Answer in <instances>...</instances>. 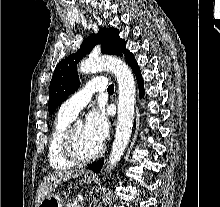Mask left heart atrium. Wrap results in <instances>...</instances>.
<instances>
[{
  "label": "left heart atrium",
  "instance_id": "1",
  "mask_svg": "<svg viewBox=\"0 0 220 207\" xmlns=\"http://www.w3.org/2000/svg\"><path fill=\"white\" fill-rule=\"evenodd\" d=\"M84 131L93 142L102 145L109 131L107 116L103 109L97 108L88 114Z\"/></svg>",
  "mask_w": 220,
  "mask_h": 207
}]
</instances>
